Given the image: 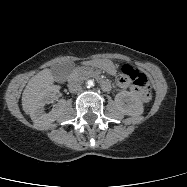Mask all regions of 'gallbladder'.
I'll use <instances>...</instances> for the list:
<instances>
[{"label":"gallbladder","instance_id":"bac80fb5","mask_svg":"<svg viewBox=\"0 0 187 187\" xmlns=\"http://www.w3.org/2000/svg\"><path fill=\"white\" fill-rule=\"evenodd\" d=\"M74 64L72 61H66L54 65L51 68L52 74L56 81H63L72 72Z\"/></svg>","mask_w":187,"mask_h":187}]
</instances>
